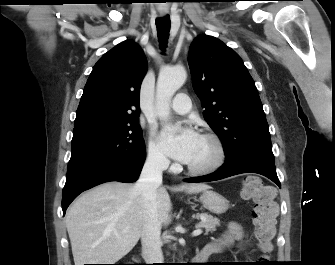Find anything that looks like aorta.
Wrapping results in <instances>:
<instances>
[{
    "label": "aorta",
    "instance_id": "aorta-1",
    "mask_svg": "<svg viewBox=\"0 0 335 265\" xmlns=\"http://www.w3.org/2000/svg\"><path fill=\"white\" fill-rule=\"evenodd\" d=\"M187 77L183 67L165 68L160 71L156 87L157 115L166 121L169 116V103L175 92L184 84Z\"/></svg>",
    "mask_w": 335,
    "mask_h": 265
}]
</instances>
